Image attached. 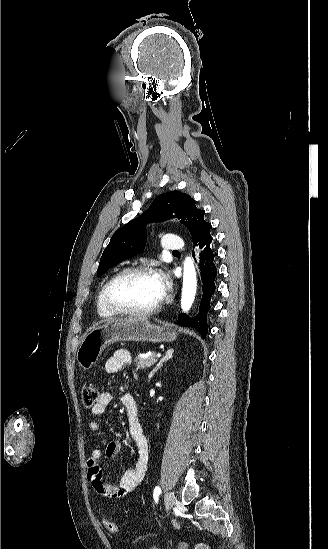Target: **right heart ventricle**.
<instances>
[{
	"mask_svg": "<svg viewBox=\"0 0 328 549\" xmlns=\"http://www.w3.org/2000/svg\"><path fill=\"white\" fill-rule=\"evenodd\" d=\"M105 285L106 284H104L102 286V288L100 289V291L98 293L97 300H96V312H97L98 316L101 319L110 320V319L114 318L115 316L109 315L105 310V304H104V301H103V290H104Z\"/></svg>",
	"mask_w": 328,
	"mask_h": 549,
	"instance_id": "e07e8e85",
	"label": "right heart ventricle"
}]
</instances>
